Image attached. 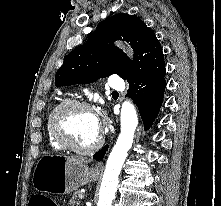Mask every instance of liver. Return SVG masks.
<instances>
[{
  "mask_svg": "<svg viewBox=\"0 0 221 206\" xmlns=\"http://www.w3.org/2000/svg\"><path fill=\"white\" fill-rule=\"evenodd\" d=\"M72 160H74L75 162H78V163H84V164H87L89 162H91V159H85V158H71Z\"/></svg>",
  "mask_w": 221,
  "mask_h": 206,
  "instance_id": "1",
  "label": "liver"
}]
</instances>
